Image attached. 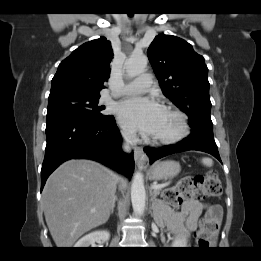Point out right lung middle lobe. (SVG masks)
I'll return each mask as SVG.
<instances>
[{
    "label": "right lung middle lobe",
    "mask_w": 261,
    "mask_h": 261,
    "mask_svg": "<svg viewBox=\"0 0 261 261\" xmlns=\"http://www.w3.org/2000/svg\"><path fill=\"white\" fill-rule=\"evenodd\" d=\"M98 96H86L73 92H62L48 99L47 120L64 116H82L94 119L105 118L109 115L100 113Z\"/></svg>",
    "instance_id": "dd1d6c3e"
}]
</instances>
